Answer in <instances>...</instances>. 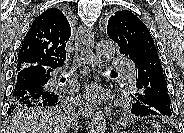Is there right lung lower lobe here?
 <instances>
[{
  "mask_svg": "<svg viewBox=\"0 0 184 133\" xmlns=\"http://www.w3.org/2000/svg\"><path fill=\"white\" fill-rule=\"evenodd\" d=\"M63 64L51 67L31 65L16 72L12 102L29 106L60 105L63 92L50 89L47 83L51 79V72Z\"/></svg>",
  "mask_w": 184,
  "mask_h": 133,
  "instance_id": "right-lung-lower-lobe-1",
  "label": "right lung lower lobe"
}]
</instances>
